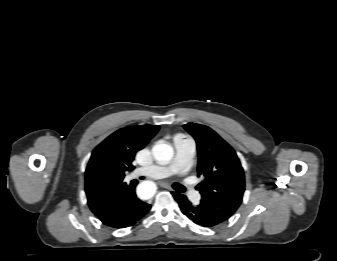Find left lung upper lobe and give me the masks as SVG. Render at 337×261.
<instances>
[{"label":"left lung upper lobe","instance_id":"left-lung-upper-lobe-1","mask_svg":"<svg viewBox=\"0 0 337 261\" xmlns=\"http://www.w3.org/2000/svg\"><path fill=\"white\" fill-rule=\"evenodd\" d=\"M184 128L194 137L198 150V185L207 207L229 219L242 202L245 190L244 172L234 149L205 125L188 123Z\"/></svg>","mask_w":337,"mask_h":261}]
</instances>
